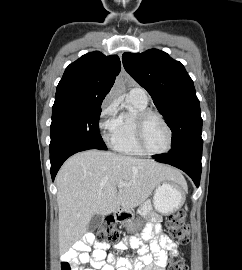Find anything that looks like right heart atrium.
<instances>
[{
    "mask_svg": "<svg viewBox=\"0 0 242 270\" xmlns=\"http://www.w3.org/2000/svg\"><path fill=\"white\" fill-rule=\"evenodd\" d=\"M118 101L109 96L102 106L99 116V129L105 141H108L117 126L118 121Z\"/></svg>",
    "mask_w": 242,
    "mask_h": 270,
    "instance_id": "1",
    "label": "right heart atrium"
}]
</instances>
